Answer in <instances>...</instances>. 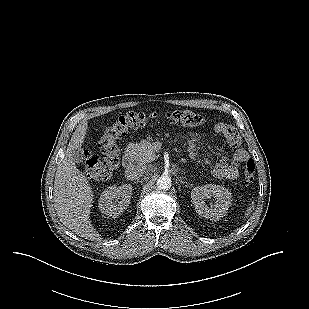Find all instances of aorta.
<instances>
[{
    "mask_svg": "<svg viewBox=\"0 0 309 309\" xmlns=\"http://www.w3.org/2000/svg\"><path fill=\"white\" fill-rule=\"evenodd\" d=\"M157 187L160 190H168L171 187V178L169 176H160L157 180Z\"/></svg>",
    "mask_w": 309,
    "mask_h": 309,
    "instance_id": "1",
    "label": "aorta"
}]
</instances>
